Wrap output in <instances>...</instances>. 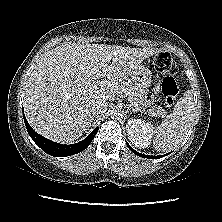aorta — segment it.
<instances>
[{
    "mask_svg": "<svg viewBox=\"0 0 222 222\" xmlns=\"http://www.w3.org/2000/svg\"><path fill=\"white\" fill-rule=\"evenodd\" d=\"M110 114L113 118L119 119V118H122V116H123V110H122V108L115 107L111 110Z\"/></svg>",
    "mask_w": 222,
    "mask_h": 222,
    "instance_id": "aorta-1",
    "label": "aorta"
}]
</instances>
